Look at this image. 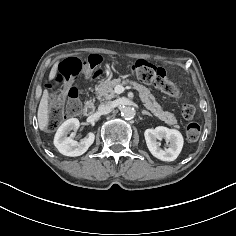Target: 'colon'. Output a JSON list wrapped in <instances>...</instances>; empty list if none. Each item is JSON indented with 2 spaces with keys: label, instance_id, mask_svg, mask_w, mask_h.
Returning <instances> with one entry per match:
<instances>
[{
  "label": "colon",
  "instance_id": "obj_1",
  "mask_svg": "<svg viewBox=\"0 0 236 236\" xmlns=\"http://www.w3.org/2000/svg\"><path fill=\"white\" fill-rule=\"evenodd\" d=\"M100 60L96 56H89L87 59L75 57L67 58L59 65L52 82L48 84L50 88L58 87L66 82L76 80L82 73L90 75L92 69L99 66ZM132 75L141 82L153 84L167 95L177 98L180 96L179 89L169 80L168 72L147 60H137L130 66ZM101 74V70L96 71L94 77ZM82 111V103L79 100V90L77 87H70L67 90V102L63 105L58 96H53L52 105L47 120V129H56L65 119L66 114L70 116L79 115ZM185 119H191L195 115L193 105H184L181 110ZM201 128L197 123H190L186 129V135L190 140H197L200 136Z\"/></svg>",
  "mask_w": 236,
  "mask_h": 236
}]
</instances>
